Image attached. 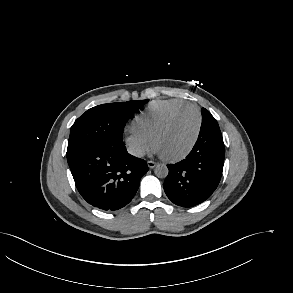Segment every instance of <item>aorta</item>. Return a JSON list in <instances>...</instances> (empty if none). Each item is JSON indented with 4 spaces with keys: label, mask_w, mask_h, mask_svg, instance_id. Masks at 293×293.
Here are the masks:
<instances>
[{
    "label": "aorta",
    "mask_w": 293,
    "mask_h": 293,
    "mask_svg": "<svg viewBox=\"0 0 293 293\" xmlns=\"http://www.w3.org/2000/svg\"><path fill=\"white\" fill-rule=\"evenodd\" d=\"M168 168L164 164H158L156 165L154 169V173L158 178H165L168 175Z\"/></svg>",
    "instance_id": "762f6f07"
}]
</instances>
